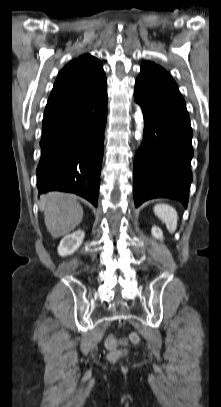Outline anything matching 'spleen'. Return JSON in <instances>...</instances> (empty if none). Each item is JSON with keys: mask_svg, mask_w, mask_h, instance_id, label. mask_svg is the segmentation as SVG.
Masks as SVG:
<instances>
[{"mask_svg": "<svg viewBox=\"0 0 221 407\" xmlns=\"http://www.w3.org/2000/svg\"><path fill=\"white\" fill-rule=\"evenodd\" d=\"M154 213L166 224L169 232L173 233L176 230L178 214L172 206L168 204H157L154 206Z\"/></svg>", "mask_w": 221, "mask_h": 407, "instance_id": "1", "label": "spleen"}]
</instances>
